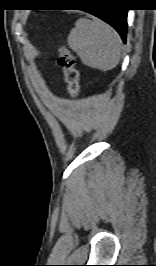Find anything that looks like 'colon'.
I'll use <instances>...</instances> for the list:
<instances>
[{
	"label": "colon",
	"mask_w": 156,
	"mask_h": 266,
	"mask_svg": "<svg viewBox=\"0 0 156 266\" xmlns=\"http://www.w3.org/2000/svg\"><path fill=\"white\" fill-rule=\"evenodd\" d=\"M58 52V63L64 73L67 91L72 98H75L79 91V71L76 67L75 57L64 45L58 47Z\"/></svg>",
	"instance_id": "colon-1"
}]
</instances>
